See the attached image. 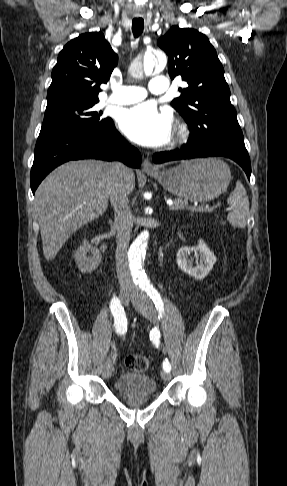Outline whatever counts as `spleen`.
Masks as SVG:
<instances>
[{
  "label": "spleen",
  "instance_id": "1",
  "mask_svg": "<svg viewBox=\"0 0 287 486\" xmlns=\"http://www.w3.org/2000/svg\"><path fill=\"white\" fill-rule=\"evenodd\" d=\"M227 203L232 208L227 220L233 227L245 228L249 217V199L240 181L236 182L234 191L229 195Z\"/></svg>",
  "mask_w": 287,
  "mask_h": 486
}]
</instances>
